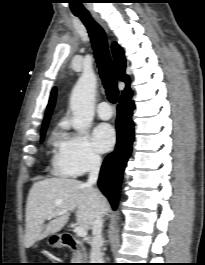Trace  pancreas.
<instances>
[{"label": "pancreas", "instance_id": "1", "mask_svg": "<svg viewBox=\"0 0 205 265\" xmlns=\"http://www.w3.org/2000/svg\"><path fill=\"white\" fill-rule=\"evenodd\" d=\"M80 259H81V255L75 254L73 257V260H75V261H79Z\"/></svg>", "mask_w": 205, "mask_h": 265}]
</instances>
